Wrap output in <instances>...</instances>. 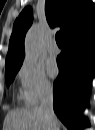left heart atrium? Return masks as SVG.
<instances>
[{"label": "left heart atrium", "mask_w": 95, "mask_h": 130, "mask_svg": "<svg viewBox=\"0 0 95 130\" xmlns=\"http://www.w3.org/2000/svg\"><path fill=\"white\" fill-rule=\"evenodd\" d=\"M47 72L51 77H55L58 74V66L54 59L48 60Z\"/></svg>", "instance_id": "left-heart-atrium-1"}]
</instances>
